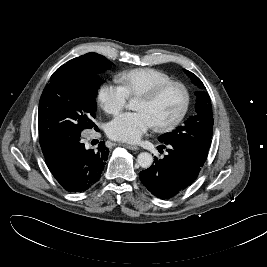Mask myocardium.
Segmentation results:
<instances>
[{
	"label": "myocardium",
	"instance_id": "1",
	"mask_svg": "<svg viewBox=\"0 0 267 267\" xmlns=\"http://www.w3.org/2000/svg\"><path fill=\"white\" fill-rule=\"evenodd\" d=\"M172 87H178L182 90L184 94L183 106L180 112L178 113V115L172 121L162 124V125L153 126V130L155 132L164 133V132L172 131L183 122L190 107L191 96H190L189 89L184 83L180 81H170V82L161 84L155 87L154 89H152L151 91L145 94H142L138 98H136V100H141L144 102H153L158 97H160L166 90Z\"/></svg>",
	"mask_w": 267,
	"mask_h": 267
}]
</instances>
